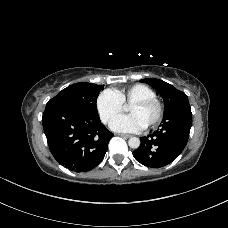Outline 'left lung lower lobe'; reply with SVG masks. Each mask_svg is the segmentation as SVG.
<instances>
[{"label": "left lung lower lobe", "mask_w": 228, "mask_h": 228, "mask_svg": "<svg viewBox=\"0 0 228 228\" xmlns=\"http://www.w3.org/2000/svg\"><path fill=\"white\" fill-rule=\"evenodd\" d=\"M181 117L164 116L160 128L153 134L141 137L140 147L133 152L134 158L144 166L159 168L175 160L185 148L192 124L189 104L181 106Z\"/></svg>", "instance_id": "obj_1"}]
</instances>
